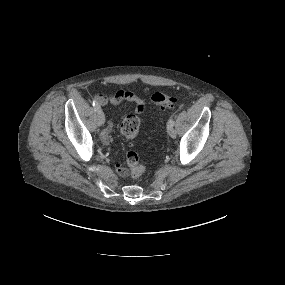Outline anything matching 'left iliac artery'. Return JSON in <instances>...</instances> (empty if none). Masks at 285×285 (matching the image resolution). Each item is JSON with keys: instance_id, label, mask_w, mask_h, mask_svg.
<instances>
[{"instance_id": "left-iliac-artery-1", "label": "left iliac artery", "mask_w": 285, "mask_h": 285, "mask_svg": "<svg viewBox=\"0 0 285 285\" xmlns=\"http://www.w3.org/2000/svg\"><path fill=\"white\" fill-rule=\"evenodd\" d=\"M174 120L173 119H170L167 123V126H174Z\"/></svg>"}]
</instances>
